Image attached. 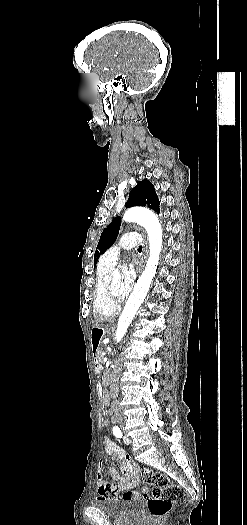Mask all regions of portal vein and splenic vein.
<instances>
[{"label": "portal vein and splenic vein", "mask_w": 247, "mask_h": 525, "mask_svg": "<svg viewBox=\"0 0 247 525\" xmlns=\"http://www.w3.org/2000/svg\"><path fill=\"white\" fill-rule=\"evenodd\" d=\"M101 356H106V353H101ZM103 361H107V358H103Z\"/></svg>", "instance_id": "18ae733b"}]
</instances>
